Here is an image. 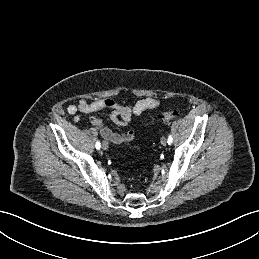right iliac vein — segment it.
Returning a JSON list of instances; mask_svg holds the SVG:
<instances>
[{
  "instance_id": "right-iliac-vein-1",
  "label": "right iliac vein",
  "mask_w": 259,
  "mask_h": 259,
  "mask_svg": "<svg viewBox=\"0 0 259 259\" xmlns=\"http://www.w3.org/2000/svg\"><path fill=\"white\" fill-rule=\"evenodd\" d=\"M108 148H109L108 143H107L106 141H103V143H102V149H103V150H107Z\"/></svg>"
}]
</instances>
